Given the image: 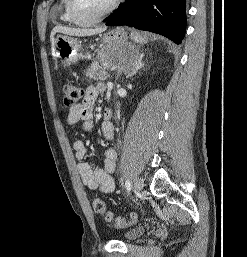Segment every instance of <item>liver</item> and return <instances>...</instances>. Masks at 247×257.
<instances>
[{
    "label": "liver",
    "mask_w": 247,
    "mask_h": 257,
    "mask_svg": "<svg viewBox=\"0 0 247 257\" xmlns=\"http://www.w3.org/2000/svg\"><path fill=\"white\" fill-rule=\"evenodd\" d=\"M105 30H106V27H100L95 29H80V28H71V27H65V26H56L53 28L51 32V40L53 41L54 35L56 33H62L70 36L84 37V36H91L97 33H101Z\"/></svg>",
    "instance_id": "6515ba94"
}]
</instances>
